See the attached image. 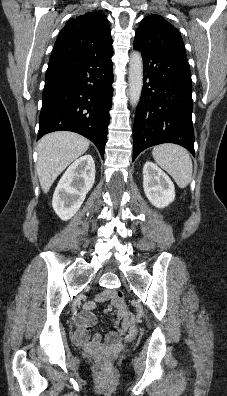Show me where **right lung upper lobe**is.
Listing matches in <instances>:
<instances>
[{"label": "right lung upper lobe", "mask_w": 227, "mask_h": 396, "mask_svg": "<svg viewBox=\"0 0 227 396\" xmlns=\"http://www.w3.org/2000/svg\"><path fill=\"white\" fill-rule=\"evenodd\" d=\"M112 44L107 17L92 11L71 18L59 33L49 61L80 56Z\"/></svg>", "instance_id": "obj_1"}]
</instances>
